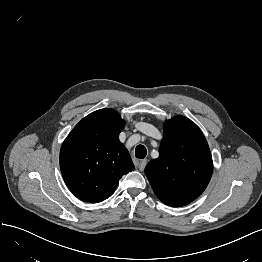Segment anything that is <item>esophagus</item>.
<instances>
[{
  "label": "esophagus",
  "mask_w": 262,
  "mask_h": 262,
  "mask_svg": "<svg viewBox=\"0 0 262 262\" xmlns=\"http://www.w3.org/2000/svg\"><path fill=\"white\" fill-rule=\"evenodd\" d=\"M147 164V160H140L138 161L137 163V168L140 170V171H143L145 166Z\"/></svg>",
  "instance_id": "1"
}]
</instances>
